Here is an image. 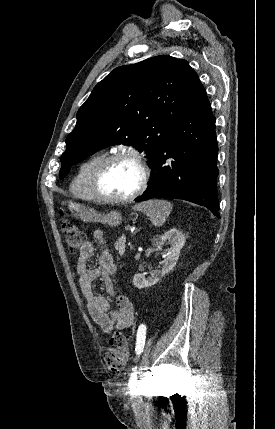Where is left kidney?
<instances>
[{"label": "left kidney", "instance_id": "5707ae66", "mask_svg": "<svg viewBox=\"0 0 275 429\" xmlns=\"http://www.w3.org/2000/svg\"><path fill=\"white\" fill-rule=\"evenodd\" d=\"M151 242L154 247H162L165 244H169L171 248L168 251L167 257L161 262L162 267L159 270L154 271L149 277H145L142 274L134 275L132 282L138 289L155 285L176 266L180 251L185 244V236L182 231L172 228L162 235L154 236Z\"/></svg>", "mask_w": 275, "mask_h": 429}]
</instances>
